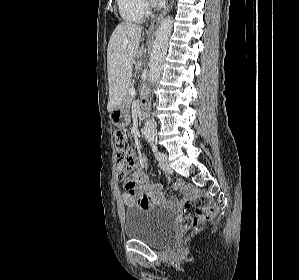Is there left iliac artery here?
Returning <instances> with one entry per match:
<instances>
[{
    "mask_svg": "<svg viewBox=\"0 0 299 280\" xmlns=\"http://www.w3.org/2000/svg\"><path fill=\"white\" fill-rule=\"evenodd\" d=\"M149 141L151 142V144L153 145V148L155 150V157H156V159L159 160V161H161L164 158V154L161 153V152H159V151H157V147L154 144V140L153 139H151Z\"/></svg>",
    "mask_w": 299,
    "mask_h": 280,
    "instance_id": "44dca946",
    "label": "left iliac artery"
}]
</instances>
